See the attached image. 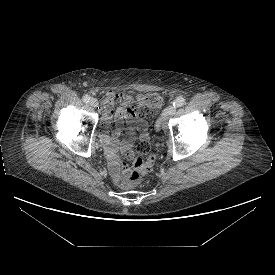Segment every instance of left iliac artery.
Masks as SVG:
<instances>
[{"label":"left iliac artery","instance_id":"44dca946","mask_svg":"<svg viewBox=\"0 0 275 275\" xmlns=\"http://www.w3.org/2000/svg\"><path fill=\"white\" fill-rule=\"evenodd\" d=\"M185 104V98L184 97H178V98H176V100L173 102V106L175 107V108H177V107H182L183 105ZM160 123H161V121H160V119L157 121V127L159 128L160 127Z\"/></svg>","mask_w":275,"mask_h":275}]
</instances>
